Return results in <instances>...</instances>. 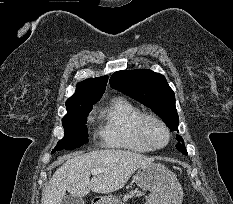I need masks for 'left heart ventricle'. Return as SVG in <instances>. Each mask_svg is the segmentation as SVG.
Here are the masks:
<instances>
[{
  "label": "left heart ventricle",
  "instance_id": "b2bd125f",
  "mask_svg": "<svg viewBox=\"0 0 233 204\" xmlns=\"http://www.w3.org/2000/svg\"><path fill=\"white\" fill-rule=\"evenodd\" d=\"M147 134L151 142L155 145H163L167 140L165 130L155 122L148 123Z\"/></svg>",
  "mask_w": 233,
  "mask_h": 204
}]
</instances>
